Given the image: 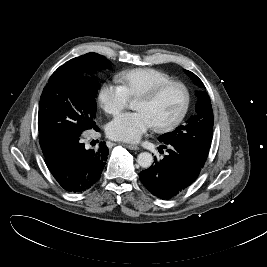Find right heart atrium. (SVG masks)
I'll list each match as a JSON object with an SVG mask.
<instances>
[{"label":"right heart atrium","instance_id":"d8ad5b80","mask_svg":"<svg viewBox=\"0 0 267 267\" xmlns=\"http://www.w3.org/2000/svg\"><path fill=\"white\" fill-rule=\"evenodd\" d=\"M100 107L109 115H117L129 103V97L119 84L105 83L98 92Z\"/></svg>","mask_w":267,"mask_h":267}]
</instances>
